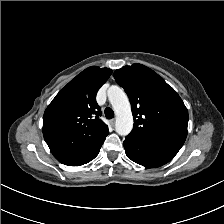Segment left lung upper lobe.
<instances>
[{
    "instance_id": "1",
    "label": "left lung upper lobe",
    "mask_w": 224,
    "mask_h": 224,
    "mask_svg": "<svg viewBox=\"0 0 224 224\" xmlns=\"http://www.w3.org/2000/svg\"><path fill=\"white\" fill-rule=\"evenodd\" d=\"M113 76L131 103L134 127L130 134L181 148L187 136L188 111L178 93L142 64L124 66Z\"/></svg>"
}]
</instances>
